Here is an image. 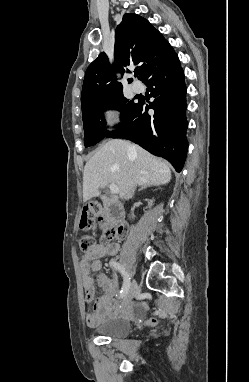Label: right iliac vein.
<instances>
[{"label": "right iliac vein", "instance_id": "63e3f726", "mask_svg": "<svg viewBox=\"0 0 249 382\" xmlns=\"http://www.w3.org/2000/svg\"><path fill=\"white\" fill-rule=\"evenodd\" d=\"M137 292H138V285H137V282L133 280L125 296L124 302L125 303L129 302Z\"/></svg>", "mask_w": 249, "mask_h": 382}]
</instances>
